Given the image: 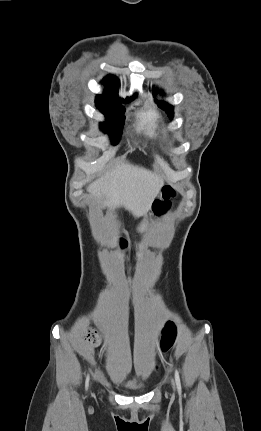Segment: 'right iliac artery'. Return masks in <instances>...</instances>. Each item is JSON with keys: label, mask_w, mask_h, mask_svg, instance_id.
Instances as JSON below:
<instances>
[{"label": "right iliac artery", "mask_w": 261, "mask_h": 431, "mask_svg": "<svg viewBox=\"0 0 261 431\" xmlns=\"http://www.w3.org/2000/svg\"><path fill=\"white\" fill-rule=\"evenodd\" d=\"M88 386H89V374L86 377V384H85L86 390L88 389Z\"/></svg>", "instance_id": "right-iliac-artery-1"}]
</instances>
